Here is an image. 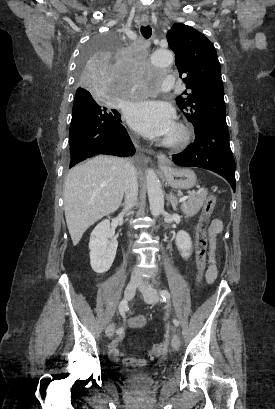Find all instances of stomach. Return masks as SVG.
<instances>
[{"mask_svg":"<svg viewBox=\"0 0 275 409\" xmlns=\"http://www.w3.org/2000/svg\"><path fill=\"white\" fill-rule=\"evenodd\" d=\"M168 184L173 188H192L196 184L197 176L191 168H172L165 166L160 168Z\"/></svg>","mask_w":275,"mask_h":409,"instance_id":"obj_1","label":"stomach"}]
</instances>
